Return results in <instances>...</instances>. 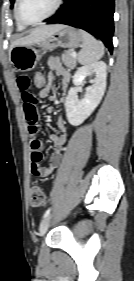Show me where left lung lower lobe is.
I'll return each instance as SVG.
<instances>
[{
    "mask_svg": "<svg viewBox=\"0 0 134 281\" xmlns=\"http://www.w3.org/2000/svg\"><path fill=\"white\" fill-rule=\"evenodd\" d=\"M114 6V0H65L60 11L45 21L68 24L96 35L112 53Z\"/></svg>",
    "mask_w": 134,
    "mask_h": 281,
    "instance_id": "0a47b994",
    "label": "left lung lower lobe"
}]
</instances>
